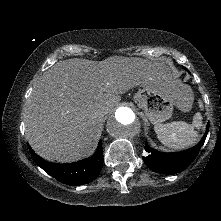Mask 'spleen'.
I'll return each mask as SVG.
<instances>
[{
	"label": "spleen",
	"instance_id": "1",
	"mask_svg": "<svg viewBox=\"0 0 221 221\" xmlns=\"http://www.w3.org/2000/svg\"><path fill=\"white\" fill-rule=\"evenodd\" d=\"M201 126L202 116L200 113H196L192 124L184 121L156 124L154 130L163 145L173 149H183L196 143L198 132L195 129H199Z\"/></svg>",
	"mask_w": 221,
	"mask_h": 221
}]
</instances>
